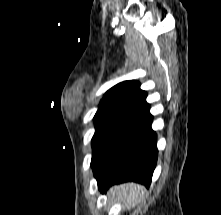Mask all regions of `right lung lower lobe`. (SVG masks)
I'll return each mask as SVG.
<instances>
[{
	"mask_svg": "<svg viewBox=\"0 0 221 215\" xmlns=\"http://www.w3.org/2000/svg\"><path fill=\"white\" fill-rule=\"evenodd\" d=\"M150 107L137 111L110 139L92 166L99 190L134 181L149 187L156 166L157 136Z\"/></svg>",
	"mask_w": 221,
	"mask_h": 215,
	"instance_id": "right-lung-lower-lobe-1",
	"label": "right lung lower lobe"
}]
</instances>
